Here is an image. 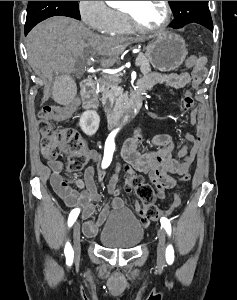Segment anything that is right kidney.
I'll list each match as a JSON object with an SVG mask.
<instances>
[{"mask_svg":"<svg viewBox=\"0 0 237 300\" xmlns=\"http://www.w3.org/2000/svg\"><path fill=\"white\" fill-rule=\"evenodd\" d=\"M99 123L100 117L96 111H85L80 117L79 127H81L85 135L91 137V135H95L96 131H98Z\"/></svg>","mask_w":237,"mask_h":300,"instance_id":"right-kidney-1","label":"right kidney"}]
</instances>
